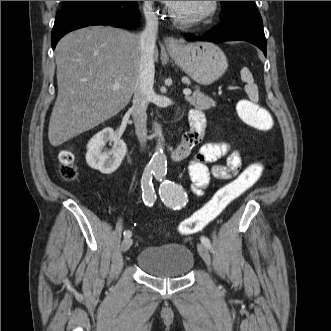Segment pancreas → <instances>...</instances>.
I'll return each instance as SVG.
<instances>
[{
	"instance_id": "cf45deb5",
	"label": "pancreas",
	"mask_w": 331,
	"mask_h": 331,
	"mask_svg": "<svg viewBox=\"0 0 331 331\" xmlns=\"http://www.w3.org/2000/svg\"><path fill=\"white\" fill-rule=\"evenodd\" d=\"M186 100L194 107L207 110L216 105V102L202 92L196 91L192 96H187Z\"/></svg>"
}]
</instances>
